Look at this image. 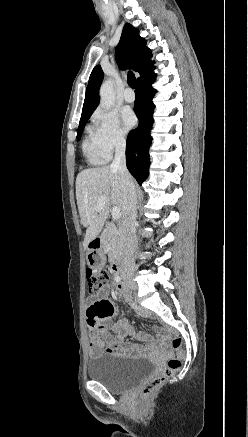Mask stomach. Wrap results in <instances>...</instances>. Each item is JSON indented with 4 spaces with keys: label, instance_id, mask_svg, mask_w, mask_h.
I'll return each mask as SVG.
<instances>
[{
    "label": "stomach",
    "instance_id": "1",
    "mask_svg": "<svg viewBox=\"0 0 248 437\" xmlns=\"http://www.w3.org/2000/svg\"><path fill=\"white\" fill-rule=\"evenodd\" d=\"M87 259H88V263L92 265L91 269L93 272L103 271L104 266L101 263L102 258L98 254L91 253Z\"/></svg>",
    "mask_w": 248,
    "mask_h": 437
}]
</instances>
